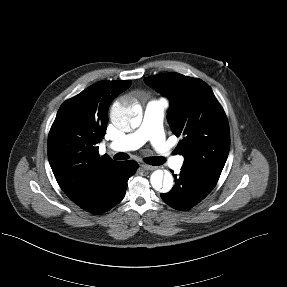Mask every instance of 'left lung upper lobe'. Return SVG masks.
I'll list each match as a JSON object with an SVG mask.
<instances>
[{
    "label": "left lung upper lobe",
    "mask_w": 287,
    "mask_h": 287,
    "mask_svg": "<svg viewBox=\"0 0 287 287\" xmlns=\"http://www.w3.org/2000/svg\"><path fill=\"white\" fill-rule=\"evenodd\" d=\"M144 81L170 100L168 121L182 140L176 149L183 166L216 185L230 148L227 117L204 81L178 73L150 76Z\"/></svg>",
    "instance_id": "left-lung-upper-lobe-1"
}]
</instances>
